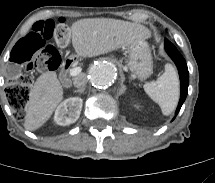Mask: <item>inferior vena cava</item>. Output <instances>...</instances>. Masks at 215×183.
<instances>
[{
	"mask_svg": "<svg viewBox=\"0 0 215 183\" xmlns=\"http://www.w3.org/2000/svg\"><path fill=\"white\" fill-rule=\"evenodd\" d=\"M74 86L77 88H83L87 84V76L80 74L74 78Z\"/></svg>",
	"mask_w": 215,
	"mask_h": 183,
	"instance_id": "inferior-vena-cava-1",
	"label": "inferior vena cava"
}]
</instances>
